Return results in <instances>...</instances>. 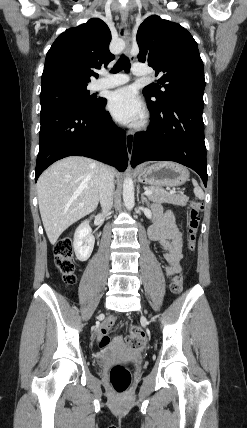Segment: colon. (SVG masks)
<instances>
[{"label": "colon", "instance_id": "colon-1", "mask_svg": "<svg viewBox=\"0 0 247 428\" xmlns=\"http://www.w3.org/2000/svg\"><path fill=\"white\" fill-rule=\"evenodd\" d=\"M203 206L198 201H191L190 207L187 214V249L192 252L195 249L196 234L200 222V212ZM54 261L56 268L61 274L64 282L67 285H71L75 282V271L76 264L74 261V249L73 241L70 237H65L59 240L54 250ZM171 291L174 294H178L183 288V276L181 273H177L171 278L170 283ZM116 319L114 316H109L103 326V337L101 339V347H105L109 344V338L106 333L113 327ZM129 347L140 350L145 344V335L138 326H132L129 331V335L126 339ZM110 382L113 389L121 394L124 393L131 383L130 369L126 365H116L110 371Z\"/></svg>", "mask_w": 247, "mask_h": 428}]
</instances>
